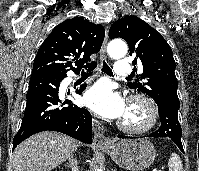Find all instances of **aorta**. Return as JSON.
<instances>
[{
	"label": "aorta",
	"instance_id": "762f6f07",
	"mask_svg": "<svg viewBox=\"0 0 199 171\" xmlns=\"http://www.w3.org/2000/svg\"><path fill=\"white\" fill-rule=\"evenodd\" d=\"M107 52L113 58H121L127 53V45L122 40H112L108 44Z\"/></svg>",
	"mask_w": 199,
	"mask_h": 171
}]
</instances>
